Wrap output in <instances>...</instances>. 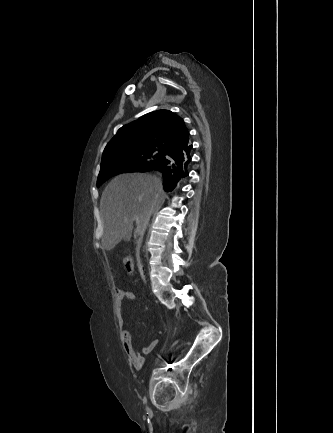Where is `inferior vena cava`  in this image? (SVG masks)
<instances>
[{"mask_svg": "<svg viewBox=\"0 0 333 433\" xmlns=\"http://www.w3.org/2000/svg\"><path fill=\"white\" fill-rule=\"evenodd\" d=\"M149 220H150V215H147V216L145 217V219H144L143 226H142V229H141V230H142V233H141V235H140L141 238L143 237V235H144V233H145V230H146V228H147V225H148Z\"/></svg>", "mask_w": 333, "mask_h": 433, "instance_id": "1", "label": "inferior vena cava"}]
</instances>
